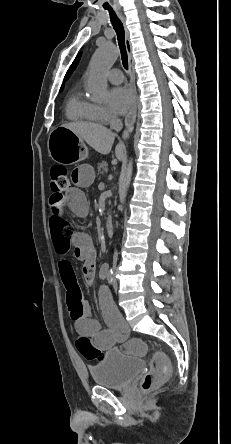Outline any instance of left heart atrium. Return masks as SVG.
Instances as JSON below:
<instances>
[{
  "label": "left heart atrium",
  "instance_id": "left-heart-atrium-1",
  "mask_svg": "<svg viewBox=\"0 0 231 444\" xmlns=\"http://www.w3.org/2000/svg\"><path fill=\"white\" fill-rule=\"evenodd\" d=\"M133 96L125 87H115L108 92V105L116 114H124L131 107Z\"/></svg>",
  "mask_w": 231,
  "mask_h": 444
}]
</instances>
